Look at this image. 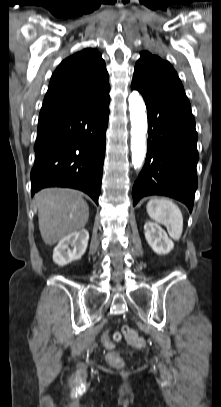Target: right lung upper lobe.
Instances as JSON below:
<instances>
[{
    "label": "right lung upper lobe",
    "mask_w": 221,
    "mask_h": 407,
    "mask_svg": "<svg viewBox=\"0 0 221 407\" xmlns=\"http://www.w3.org/2000/svg\"><path fill=\"white\" fill-rule=\"evenodd\" d=\"M109 75L101 54L84 49L61 62L53 73L39 118L75 110L107 96Z\"/></svg>",
    "instance_id": "right-lung-upper-lobe-1"
}]
</instances>
